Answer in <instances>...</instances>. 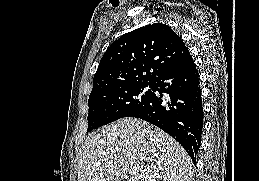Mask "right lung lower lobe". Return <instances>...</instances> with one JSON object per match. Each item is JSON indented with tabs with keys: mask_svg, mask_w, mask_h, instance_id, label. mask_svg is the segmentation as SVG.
I'll return each mask as SVG.
<instances>
[{
	"mask_svg": "<svg viewBox=\"0 0 259 181\" xmlns=\"http://www.w3.org/2000/svg\"><path fill=\"white\" fill-rule=\"evenodd\" d=\"M199 80L194 61L188 54L157 76L150 99L130 116L146 120L168 133L183 146L193 162L203 127Z\"/></svg>",
	"mask_w": 259,
	"mask_h": 181,
	"instance_id": "98d812e1",
	"label": "right lung lower lobe"
}]
</instances>
